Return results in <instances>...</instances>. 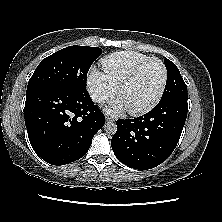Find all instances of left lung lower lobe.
<instances>
[{
    "instance_id": "obj_1",
    "label": "left lung lower lobe",
    "mask_w": 222,
    "mask_h": 222,
    "mask_svg": "<svg viewBox=\"0 0 222 222\" xmlns=\"http://www.w3.org/2000/svg\"><path fill=\"white\" fill-rule=\"evenodd\" d=\"M188 111L187 96H170L144 116L116 121L111 140L115 156L139 170L163 163L175 149Z\"/></svg>"
}]
</instances>
